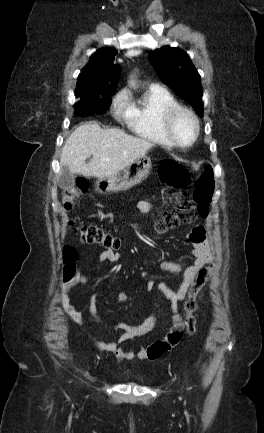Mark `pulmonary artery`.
<instances>
[{
  "label": "pulmonary artery",
  "instance_id": "pulmonary-artery-1",
  "mask_svg": "<svg viewBox=\"0 0 264 433\" xmlns=\"http://www.w3.org/2000/svg\"><path fill=\"white\" fill-rule=\"evenodd\" d=\"M151 88H153V89H162V87L159 84H157V83L152 84Z\"/></svg>",
  "mask_w": 264,
  "mask_h": 433
}]
</instances>
